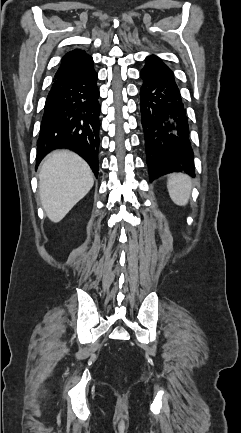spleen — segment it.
<instances>
[{
	"label": "spleen",
	"instance_id": "1",
	"mask_svg": "<svg viewBox=\"0 0 241 433\" xmlns=\"http://www.w3.org/2000/svg\"><path fill=\"white\" fill-rule=\"evenodd\" d=\"M192 188L191 178L183 173H174L168 178L167 189L171 200L178 206H186Z\"/></svg>",
	"mask_w": 241,
	"mask_h": 433
}]
</instances>
